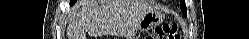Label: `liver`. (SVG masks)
I'll use <instances>...</instances> for the list:
<instances>
[{
    "instance_id": "6515ba94",
    "label": "liver",
    "mask_w": 249,
    "mask_h": 39,
    "mask_svg": "<svg viewBox=\"0 0 249 39\" xmlns=\"http://www.w3.org/2000/svg\"><path fill=\"white\" fill-rule=\"evenodd\" d=\"M67 32L68 39H86L110 32L121 26L136 28L139 21L154 7L143 0H105L79 2Z\"/></svg>"
}]
</instances>
